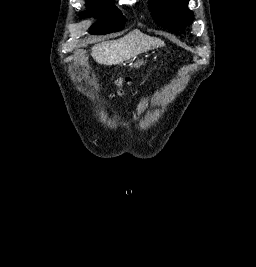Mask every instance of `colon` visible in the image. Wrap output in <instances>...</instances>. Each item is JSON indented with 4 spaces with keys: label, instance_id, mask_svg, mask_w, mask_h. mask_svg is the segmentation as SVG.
<instances>
[{
    "label": "colon",
    "instance_id": "colon-1",
    "mask_svg": "<svg viewBox=\"0 0 256 267\" xmlns=\"http://www.w3.org/2000/svg\"><path fill=\"white\" fill-rule=\"evenodd\" d=\"M122 83L127 84L129 87L131 86V81H129V80H127V81L120 80V81L118 82V84H122Z\"/></svg>",
    "mask_w": 256,
    "mask_h": 267
}]
</instances>
